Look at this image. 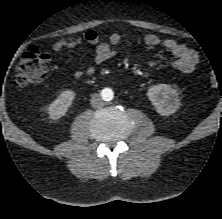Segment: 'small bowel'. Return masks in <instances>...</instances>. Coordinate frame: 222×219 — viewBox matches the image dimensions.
I'll return each instance as SVG.
<instances>
[{"label": "small bowel", "mask_w": 222, "mask_h": 219, "mask_svg": "<svg viewBox=\"0 0 222 219\" xmlns=\"http://www.w3.org/2000/svg\"><path fill=\"white\" fill-rule=\"evenodd\" d=\"M83 40L95 47V62L97 64H102L112 59L118 54L120 49L129 45L127 38L118 33H112L106 40H103L94 30L86 32ZM83 40L80 38L61 39L53 44L52 49L55 52H59L66 48H74L80 45ZM144 42L149 47H155L162 44L163 47L173 56L174 59L172 61V66L178 71L183 73H192L195 70L198 55L194 50L186 47L185 45L178 43L174 39H165L161 41L156 34H147L144 37ZM145 64L148 66H155L157 61L149 60L146 61ZM94 72L95 67L88 66L84 70L76 71L74 73V77L76 79H82L94 74Z\"/></svg>", "instance_id": "1"}]
</instances>
